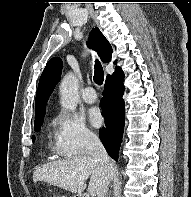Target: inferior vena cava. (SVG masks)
Segmentation results:
<instances>
[{"instance_id": "obj_1", "label": "inferior vena cava", "mask_w": 191, "mask_h": 197, "mask_svg": "<svg viewBox=\"0 0 191 197\" xmlns=\"http://www.w3.org/2000/svg\"><path fill=\"white\" fill-rule=\"evenodd\" d=\"M88 149L94 160L98 161L104 169V180L97 197H106L109 182L112 176V163L100 139L92 134L88 137Z\"/></svg>"}]
</instances>
